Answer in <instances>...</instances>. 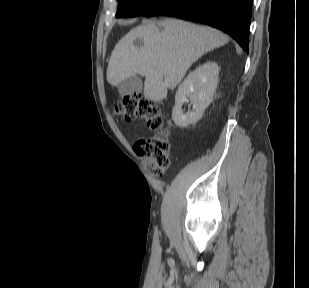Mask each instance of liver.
I'll use <instances>...</instances> for the list:
<instances>
[{
    "instance_id": "1",
    "label": "liver",
    "mask_w": 309,
    "mask_h": 288,
    "mask_svg": "<svg viewBox=\"0 0 309 288\" xmlns=\"http://www.w3.org/2000/svg\"><path fill=\"white\" fill-rule=\"evenodd\" d=\"M136 41L141 45H136ZM228 41L222 32L207 26L176 19L145 21L115 45L107 67V81L117 86L139 74L145 78V98L162 101L194 62Z\"/></svg>"
}]
</instances>
